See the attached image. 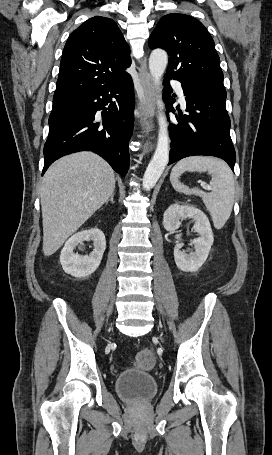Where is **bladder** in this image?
I'll return each instance as SVG.
<instances>
[{
	"label": "bladder",
	"instance_id": "31cf9c89",
	"mask_svg": "<svg viewBox=\"0 0 272 455\" xmlns=\"http://www.w3.org/2000/svg\"><path fill=\"white\" fill-rule=\"evenodd\" d=\"M115 390L118 396L128 402L150 401L158 391L154 377L140 370H125L115 379Z\"/></svg>",
	"mask_w": 272,
	"mask_h": 455
}]
</instances>
